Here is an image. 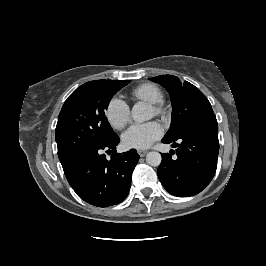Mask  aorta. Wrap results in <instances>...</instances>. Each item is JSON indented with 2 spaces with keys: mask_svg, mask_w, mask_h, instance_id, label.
I'll return each instance as SVG.
<instances>
[{
  "mask_svg": "<svg viewBox=\"0 0 266 266\" xmlns=\"http://www.w3.org/2000/svg\"><path fill=\"white\" fill-rule=\"evenodd\" d=\"M131 115L133 120L138 123H142L151 118V113L148 107L142 102H138L132 107ZM161 160H162L161 154L156 151H151L146 156V162L150 166L154 167L159 166Z\"/></svg>",
  "mask_w": 266,
  "mask_h": 266,
  "instance_id": "obj_1",
  "label": "aorta"
}]
</instances>
